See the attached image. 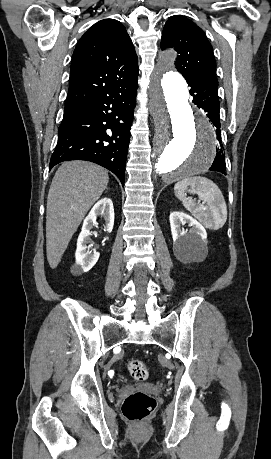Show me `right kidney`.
I'll return each instance as SVG.
<instances>
[{
  "label": "right kidney",
  "mask_w": 271,
  "mask_h": 459,
  "mask_svg": "<svg viewBox=\"0 0 271 459\" xmlns=\"http://www.w3.org/2000/svg\"><path fill=\"white\" fill-rule=\"evenodd\" d=\"M97 216H103L106 231H112L114 226V208L110 198L99 200L83 222L82 231L77 239V249L75 251L76 263L71 267L73 275H80L84 271H89L95 265L100 255L99 251H95V249L93 251H86V249H89L93 245L90 237L92 231L90 229L96 224Z\"/></svg>",
  "instance_id": "obj_1"
}]
</instances>
